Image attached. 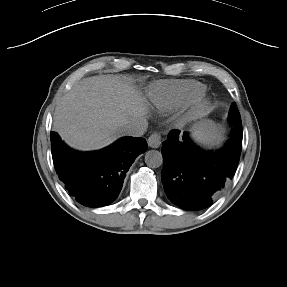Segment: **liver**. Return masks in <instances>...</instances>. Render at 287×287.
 Segmentation results:
<instances>
[{"label":"liver","mask_w":287,"mask_h":287,"mask_svg":"<svg viewBox=\"0 0 287 287\" xmlns=\"http://www.w3.org/2000/svg\"><path fill=\"white\" fill-rule=\"evenodd\" d=\"M147 106L126 80L115 75L81 80L58 103L54 129L71 147L99 150L123 136L122 127L145 118Z\"/></svg>","instance_id":"1"}]
</instances>
